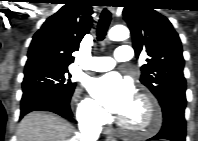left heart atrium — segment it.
<instances>
[{"label":"left heart atrium","mask_w":198,"mask_h":141,"mask_svg":"<svg viewBox=\"0 0 198 141\" xmlns=\"http://www.w3.org/2000/svg\"><path fill=\"white\" fill-rule=\"evenodd\" d=\"M88 89L107 111L120 116H124L135 102L133 85L117 73L92 79Z\"/></svg>","instance_id":"left-heart-atrium-1"}]
</instances>
